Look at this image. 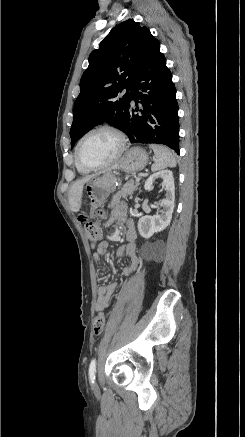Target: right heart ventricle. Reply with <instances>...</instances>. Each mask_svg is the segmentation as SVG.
<instances>
[{
	"mask_svg": "<svg viewBox=\"0 0 245 437\" xmlns=\"http://www.w3.org/2000/svg\"><path fill=\"white\" fill-rule=\"evenodd\" d=\"M75 166H76L77 171L81 174H88L91 171L90 169H87V168L81 166L76 159H75Z\"/></svg>",
	"mask_w": 245,
	"mask_h": 437,
	"instance_id": "e07e8e85",
	"label": "right heart ventricle"
}]
</instances>
